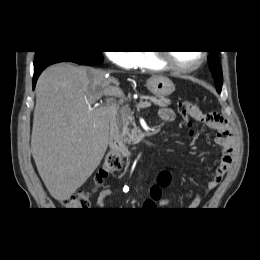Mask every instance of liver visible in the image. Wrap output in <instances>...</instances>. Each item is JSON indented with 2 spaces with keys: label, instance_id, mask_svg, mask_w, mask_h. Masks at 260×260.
Returning a JSON list of instances; mask_svg holds the SVG:
<instances>
[{
  "label": "liver",
  "instance_id": "liver-1",
  "mask_svg": "<svg viewBox=\"0 0 260 260\" xmlns=\"http://www.w3.org/2000/svg\"><path fill=\"white\" fill-rule=\"evenodd\" d=\"M111 83L107 72L58 63L45 69L36 84L31 152L52 197L69 198L99 166L109 143L107 108L92 105Z\"/></svg>",
  "mask_w": 260,
  "mask_h": 260
}]
</instances>
